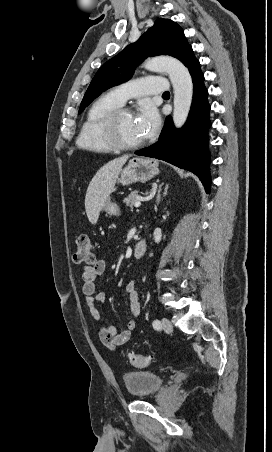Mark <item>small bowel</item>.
I'll return each instance as SVG.
<instances>
[{"label": "small bowel", "mask_w": 272, "mask_h": 452, "mask_svg": "<svg viewBox=\"0 0 272 452\" xmlns=\"http://www.w3.org/2000/svg\"><path fill=\"white\" fill-rule=\"evenodd\" d=\"M107 263L103 259H97L92 264L86 265L81 273L82 292L86 298V305L91 317L97 322V331L100 341L109 348L124 345L130 339L132 333L138 327L141 308L139 303V291L136 281H129L124 289L130 310V319L126 328L119 332L114 326L102 322L97 304L105 301V294L97 292L96 281L106 271Z\"/></svg>", "instance_id": "c3829d8e"}]
</instances>
